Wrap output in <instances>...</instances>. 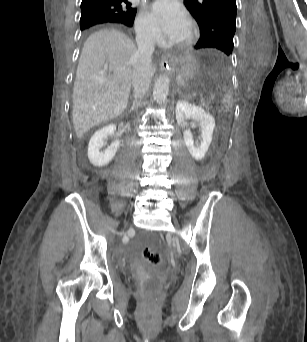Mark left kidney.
Instances as JSON below:
<instances>
[{
	"label": "left kidney",
	"instance_id": "left-kidney-1",
	"mask_svg": "<svg viewBox=\"0 0 307 342\" xmlns=\"http://www.w3.org/2000/svg\"><path fill=\"white\" fill-rule=\"evenodd\" d=\"M176 122L181 126L186 120H194L198 122L201 132L200 144H195L193 136L189 130H184L183 138L184 142L194 160H203L208 148L212 142L213 130L215 128V120L209 112H205L200 106H194V104H188L185 100H179L176 104Z\"/></svg>",
	"mask_w": 307,
	"mask_h": 342
}]
</instances>
